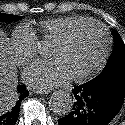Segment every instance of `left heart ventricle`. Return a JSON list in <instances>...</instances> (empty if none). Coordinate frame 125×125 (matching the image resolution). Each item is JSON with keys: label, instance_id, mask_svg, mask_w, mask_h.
Listing matches in <instances>:
<instances>
[{"label": "left heart ventricle", "instance_id": "obj_1", "mask_svg": "<svg viewBox=\"0 0 125 125\" xmlns=\"http://www.w3.org/2000/svg\"><path fill=\"white\" fill-rule=\"evenodd\" d=\"M104 35L95 25H86L63 44H52L50 56L62 61L71 77L90 71L100 60Z\"/></svg>", "mask_w": 125, "mask_h": 125}]
</instances>
